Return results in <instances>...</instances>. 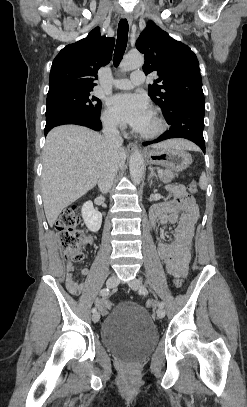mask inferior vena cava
<instances>
[{
	"label": "inferior vena cava",
	"instance_id": "1",
	"mask_svg": "<svg viewBox=\"0 0 247 407\" xmlns=\"http://www.w3.org/2000/svg\"><path fill=\"white\" fill-rule=\"evenodd\" d=\"M103 134L105 143L110 152L117 150L122 146L123 139L120 136L117 124L115 122H105L103 126ZM117 169L118 167L114 161L110 160L109 158L106 159L98 179V186L101 192L106 193L109 191L114 182Z\"/></svg>",
	"mask_w": 247,
	"mask_h": 407
}]
</instances>
